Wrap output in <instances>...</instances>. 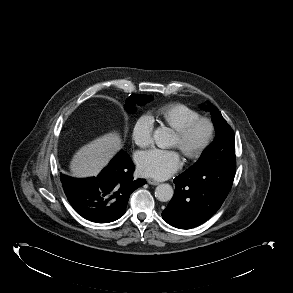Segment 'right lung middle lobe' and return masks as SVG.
Listing matches in <instances>:
<instances>
[{
    "instance_id": "obj_1",
    "label": "right lung middle lobe",
    "mask_w": 293,
    "mask_h": 293,
    "mask_svg": "<svg viewBox=\"0 0 293 293\" xmlns=\"http://www.w3.org/2000/svg\"><path fill=\"white\" fill-rule=\"evenodd\" d=\"M152 99L153 97L149 95L132 94L126 101L125 109L127 112H133L135 110V105H145Z\"/></svg>"
}]
</instances>
